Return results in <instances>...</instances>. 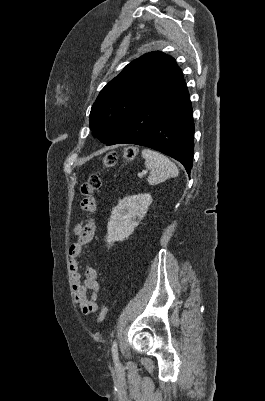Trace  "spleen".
I'll use <instances>...</instances> for the list:
<instances>
[{
    "mask_svg": "<svg viewBox=\"0 0 265 401\" xmlns=\"http://www.w3.org/2000/svg\"><path fill=\"white\" fill-rule=\"evenodd\" d=\"M142 156L145 158V166L150 170V174L147 178L149 184H159L164 182L166 178L171 176H178V168L174 162H171L170 158L156 152V150H150V148H143Z\"/></svg>",
    "mask_w": 265,
    "mask_h": 401,
    "instance_id": "1",
    "label": "spleen"
}]
</instances>
